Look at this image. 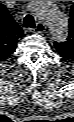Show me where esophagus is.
<instances>
[{
	"instance_id": "obj_1",
	"label": "esophagus",
	"mask_w": 74,
	"mask_h": 122,
	"mask_svg": "<svg viewBox=\"0 0 74 122\" xmlns=\"http://www.w3.org/2000/svg\"><path fill=\"white\" fill-rule=\"evenodd\" d=\"M46 27L42 22H38L36 24V27L33 29H30L31 33H43L45 31Z\"/></svg>"
}]
</instances>
